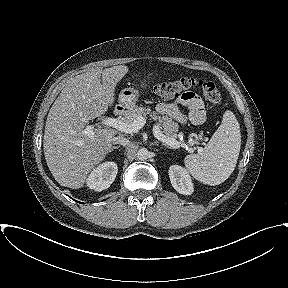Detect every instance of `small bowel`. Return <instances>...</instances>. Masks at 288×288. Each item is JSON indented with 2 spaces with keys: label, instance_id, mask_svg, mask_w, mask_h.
Listing matches in <instances>:
<instances>
[{
  "label": "small bowel",
  "instance_id": "1",
  "mask_svg": "<svg viewBox=\"0 0 288 288\" xmlns=\"http://www.w3.org/2000/svg\"><path fill=\"white\" fill-rule=\"evenodd\" d=\"M180 106L189 109V119L194 124H201L205 120V110L202 100L193 92H187L171 103H160L157 111L161 114L168 115L180 123L186 121L185 115L180 111Z\"/></svg>",
  "mask_w": 288,
  "mask_h": 288
}]
</instances>
